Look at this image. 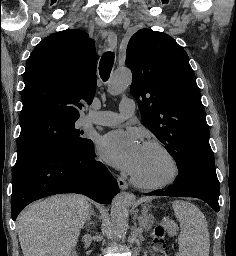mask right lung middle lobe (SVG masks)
<instances>
[{
	"mask_svg": "<svg viewBox=\"0 0 236 256\" xmlns=\"http://www.w3.org/2000/svg\"><path fill=\"white\" fill-rule=\"evenodd\" d=\"M77 120L78 118L49 111L20 118L21 133L17 143V159L51 147L81 149L88 145L91 140L82 136L84 131L75 125Z\"/></svg>",
	"mask_w": 236,
	"mask_h": 256,
	"instance_id": "right-lung-middle-lobe-1",
	"label": "right lung middle lobe"
}]
</instances>
